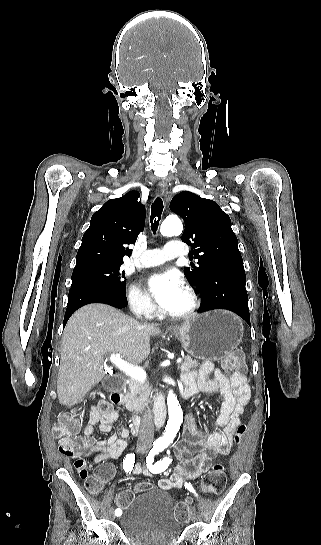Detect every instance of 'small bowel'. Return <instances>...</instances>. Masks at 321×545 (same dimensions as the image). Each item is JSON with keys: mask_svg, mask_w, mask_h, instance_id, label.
<instances>
[{"mask_svg": "<svg viewBox=\"0 0 321 545\" xmlns=\"http://www.w3.org/2000/svg\"><path fill=\"white\" fill-rule=\"evenodd\" d=\"M183 382L185 397L220 392L223 401L215 429L205 437L199 436L194 415L188 417L186 431L175 446L180 463L170 478L158 482L159 487L165 490L181 488L186 480L195 479L207 472L216 455L229 453L234 430L240 424V416L250 399V388L244 376L227 377L209 361L204 362L197 371L186 373ZM117 418L118 412L109 403L101 402L91 409L88 424L83 430L84 435L90 438L94 434V427L99 424L102 432L110 434L107 439L85 446V455L97 453L93 461L96 464L102 463L96 473L101 475L103 483L111 480L116 472L114 465L106 462L119 457L127 446V431L113 426ZM133 473L148 477L153 475L149 468L142 464L135 465Z\"/></svg>", "mask_w": 321, "mask_h": 545, "instance_id": "small-bowel-1", "label": "small bowel"}]
</instances>
